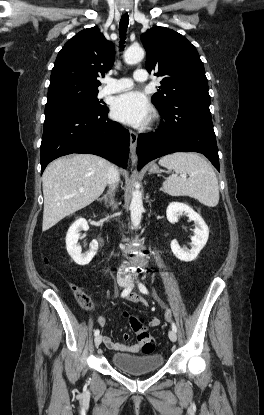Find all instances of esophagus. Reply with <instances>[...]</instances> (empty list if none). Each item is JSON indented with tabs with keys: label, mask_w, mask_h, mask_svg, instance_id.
<instances>
[{
	"label": "esophagus",
	"mask_w": 264,
	"mask_h": 415,
	"mask_svg": "<svg viewBox=\"0 0 264 415\" xmlns=\"http://www.w3.org/2000/svg\"><path fill=\"white\" fill-rule=\"evenodd\" d=\"M130 158L132 163L137 162V155H136V146H137V134L136 132L130 130Z\"/></svg>",
	"instance_id": "1"
}]
</instances>
